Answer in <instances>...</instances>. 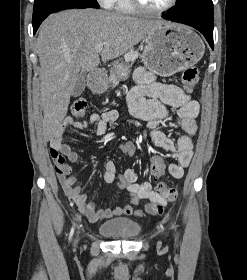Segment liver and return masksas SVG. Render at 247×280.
I'll list each match as a JSON object with an SVG mask.
<instances>
[{
    "label": "liver",
    "mask_w": 247,
    "mask_h": 280,
    "mask_svg": "<svg viewBox=\"0 0 247 280\" xmlns=\"http://www.w3.org/2000/svg\"><path fill=\"white\" fill-rule=\"evenodd\" d=\"M166 23L91 8L66 10L48 17L37 39L46 138L59 130L80 71L89 72L99 65L97 45L103 44L102 59H115Z\"/></svg>",
    "instance_id": "6515ba94"
}]
</instances>
